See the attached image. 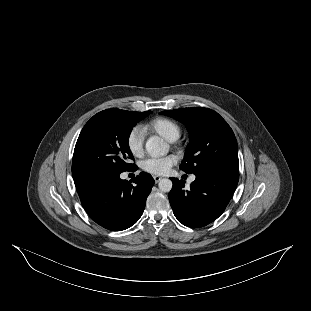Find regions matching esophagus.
Wrapping results in <instances>:
<instances>
[{
	"mask_svg": "<svg viewBox=\"0 0 311 311\" xmlns=\"http://www.w3.org/2000/svg\"><path fill=\"white\" fill-rule=\"evenodd\" d=\"M155 183H158L162 177L161 176H153Z\"/></svg>",
	"mask_w": 311,
	"mask_h": 311,
	"instance_id": "1",
	"label": "esophagus"
}]
</instances>
